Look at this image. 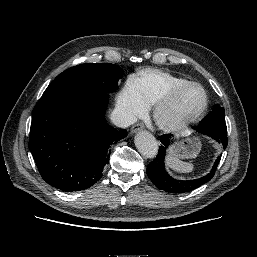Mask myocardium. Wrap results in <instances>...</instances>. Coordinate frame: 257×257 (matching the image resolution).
Masks as SVG:
<instances>
[{
	"label": "myocardium",
	"mask_w": 257,
	"mask_h": 257,
	"mask_svg": "<svg viewBox=\"0 0 257 257\" xmlns=\"http://www.w3.org/2000/svg\"><path fill=\"white\" fill-rule=\"evenodd\" d=\"M198 87L203 92L204 100L199 110L192 116L183 120H170L165 117V109L174 101V99L184 90ZM209 105V97L205 88L197 82H187L171 89L156 105L154 109V117L161 129L167 132L182 131L201 120L207 111Z\"/></svg>",
	"instance_id": "f54148a6"
}]
</instances>
